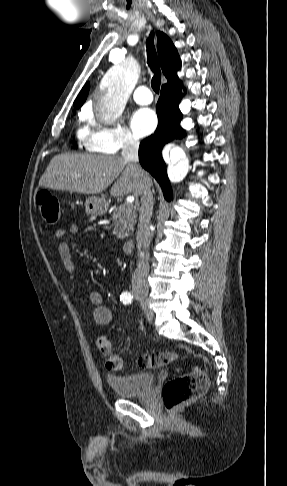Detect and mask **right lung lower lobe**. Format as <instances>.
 Masks as SVG:
<instances>
[{"label": "right lung lower lobe", "mask_w": 287, "mask_h": 486, "mask_svg": "<svg viewBox=\"0 0 287 486\" xmlns=\"http://www.w3.org/2000/svg\"><path fill=\"white\" fill-rule=\"evenodd\" d=\"M182 96L180 81L162 86L156 105L158 127L153 135L141 142L139 147L140 164L158 181L167 200L171 199L172 191L161 150L166 143L173 139H181L185 135L180 126L182 113L178 108Z\"/></svg>", "instance_id": "obj_1"}]
</instances>
